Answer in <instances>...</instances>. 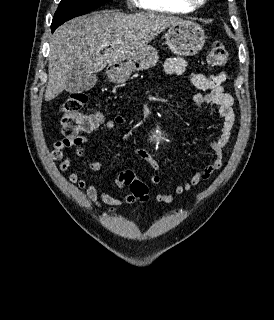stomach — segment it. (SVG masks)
<instances>
[{
    "mask_svg": "<svg viewBox=\"0 0 274 320\" xmlns=\"http://www.w3.org/2000/svg\"><path fill=\"white\" fill-rule=\"evenodd\" d=\"M166 44L172 54L176 56H196L205 44V34L201 26L189 20H180L178 24L170 26L166 34ZM158 62V54L152 46H146L137 54L136 58H131L129 62L121 64H111L106 70V74L115 84H122L128 80L132 72L148 70L153 68Z\"/></svg>",
    "mask_w": 274,
    "mask_h": 320,
    "instance_id": "0dacf381",
    "label": "stomach"
}]
</instances>
